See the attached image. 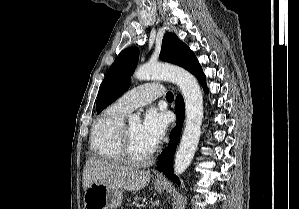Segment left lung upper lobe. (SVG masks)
I'll use <instances>...</instances> for the list:
<instances>
[{"instance_id":"5c2ea615","label":"left lung upper lobe","mask_w":299,"mask_h":209,"mask_svg":"<svg viewBox=\"0 0 299 209\" xmlns=\"http://www.w3.org/2000/svg\"><path fill=\"white\" fill-rule=\"evenodd\" d=\"M138 56L139 49L136 47L127 48L117 56L101 84L96 102L98 113L129 88L130 74L137 66ZM160 59L181 66L191 73L199 66L193 51L173 33L164 35Z\"/></svg>"}]
</instances>
